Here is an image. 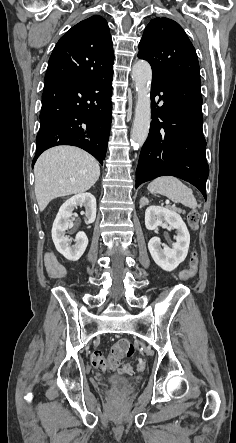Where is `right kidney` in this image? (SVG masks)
<instances>
[{
	"mask_svg": "<svg viewBox=\"0 0 236 443\" xmlns=\"http://www.w3.org/2000/svg\"><path fill=\"white\" fill-rule=\"evenodd\" d=\"M84 207L85 221L93 223L96 219V199L91 193L77 194L64 202L54 220L52 227V239L55 247L66 259L77 261L85 252L88 245V238L84 232L77 233L75 244L71 245L72 239L65 235L68 230L73 211L77 207Z\"/></svg>",
	"mask_w": 236,
	"mask_h": 443,
	"instance_id": "obj_1",
	"label": "right kidney"
}]
</instances>
